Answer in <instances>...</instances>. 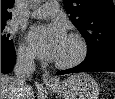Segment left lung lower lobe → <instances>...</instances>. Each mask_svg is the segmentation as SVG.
I'll return each instance as SVG.
<instances>
[{
	"mask_svg": "<svg viewBox=\"0 0 115 99\" xmlns=\"http://www.w3.org/2000/svg\"><path fill=\"white\" fill-rule=\"evenodd\" d=\"M98 71H112L115 72V52L106 53L92 59H85L78 66L59 71L57 75L78 72H98Z\"/></svg>",
	"mask_w": 115,
	"mask_h": 99,
	"instance_id": "0a47b994",
	"label": "left lung lower lobe"
}]
</instances>
